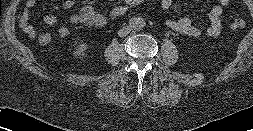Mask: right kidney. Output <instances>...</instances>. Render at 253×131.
<instances>
[{"mask_svg": "<svg viewBox=\"0 0 253 131\" xmlns=\"http://www.w3.org/2000/svg\"><path fill=\"white\" fill-rule=\"evenodd\" d=\"M87 49V46L85 44H81L76 48V51L73 53L75 56H82L84 51Z\"/></svg>", "mask_w": 253, "mask_h": 131, "instance_id": "1", "label": "right kidney"}]
</instances>
